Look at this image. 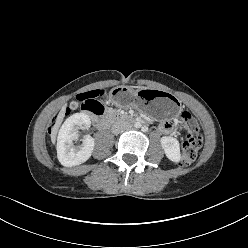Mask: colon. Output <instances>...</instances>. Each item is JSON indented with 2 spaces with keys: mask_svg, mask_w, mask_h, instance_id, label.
I'll return each instance as SVG.
<instances>
[{
  "mask_svg": "<svg viewBox=\"0 0 248 248\" xmlns=\"http://www.w3.org/2000/svg\"><path fill=\"white\" fill-rule=\"evenodd\" d=\"M107 94L106 90H93L82 93L78 96V101L85 108L102 113L104 106L101 99ZM181 125L186 133V139L182 144L181 165H189L195 161L202 145V137L196 119L188 112L181 114Z\"/></svg>",
  "mask_w": 248,
  "mask_h": 248,
  "instance_id": "obj_1",
  "label": "colon"
}]
</instances>
